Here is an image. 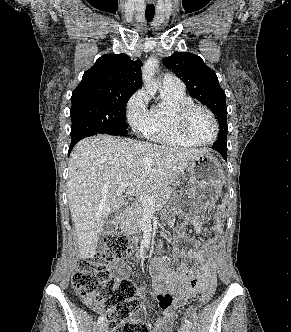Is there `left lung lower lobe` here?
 <instances>
[{"instance_id":"obj_1","label":"left lung lower lobe","mask_w":291,"mask_h":332,"mask_svg":"<svg viewBox=\"0 0 291 332\" xmlns=\"http://www.w3.org/2000/svg\"><path fill=\"white\" fill-rule=\"evenodd\" d=\"M214 150L219 152L224 159L226 160V155H227V143L225 144L224 142L218 141L216 142L213 147Z\"/></svg>"}]
</instances>
